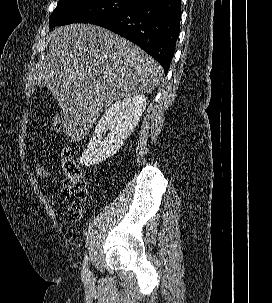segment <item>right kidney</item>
Listing matches in <instances>:
<instances>
[{
    "instance_id": "right-kidney-1",
    "label": "right kidney",
    "mask_w": 272,
    "mask_h": 303,
    "mask_svg": "<svg viewBox=\"0 0 272 303\" xmlns=\"http://www.w3.org/2000/svg\"><path fill=\"white\" fill-rule=\"evenodd\" d=\"M146 100L144 95H136L116 101L105 110L80 163L92 166L114 155L137 126L146 108Z\"/></svg>"
}]
</instances>
